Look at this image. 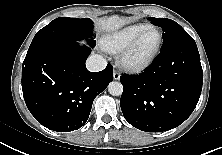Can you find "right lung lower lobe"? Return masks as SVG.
<instances>
[{
    "label": "right lung lower lobe",
    "instance_id": "obj_1",
    "mask_svg": "<svg viewBox=\"0 0 222 155\" xmlns=\"http://www.w3.org/2000/svg\"><path fill=\"white\" fill-rule=\"evenodd\" d=\"M93 43L76 41L49 45L26 56L22 66V90L26 105L43 126L57 132L82 127L95 97L113 81L112 67L89 72L85 62Z\"/></svg>",
    "mask_w": 222,
    "mask_h": 155
}]
</instances>
